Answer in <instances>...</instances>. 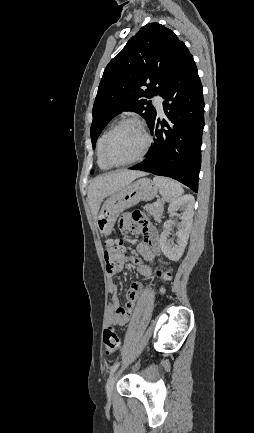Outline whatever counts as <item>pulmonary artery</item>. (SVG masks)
<instances>
[{
	"instance_id": "pulmonary-artery-1",
	"label": "pulmonary artery",
	"mask_w": 254,
	"mask_h": 433,
	"mask_svg": "<svg viewBox=\"0 0 254 433\" xmlns=\"http://www.w3.org/2000/svg\"><path fill=\"white\" fill-rule=\"evenodd\" d=\"M163 99L161 96L156 95L154 98V104L159 113H163Z\"/></svg>"
}]
</instances>
